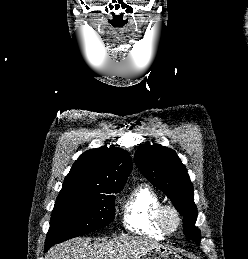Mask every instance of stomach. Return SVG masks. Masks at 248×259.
<instances>
[{
	"label": "stomach",
	"mask_w": 248,
	"mask_h": 259,
	"mask_svg": "<svg viewBox=\"0 0 248 259\" xmlns=\"http://www.w3.org/2000/svg\"><path fill=\"white\" fill-rule=\"evenodd\" d=\"M139 259H182V257L170 248L157 246L141 255Z\"/></svg>",
	"instance_id": "obj_1"
}]
</instances>
